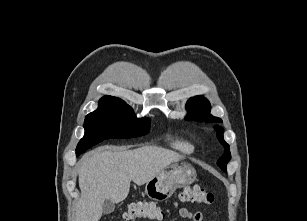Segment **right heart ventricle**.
<instances>
[{
    "label": "right heart ventricle",
    "instance_id": "right-heart-ventricle-1",
    "mask_svg": "<svg viewBox=\"0 0 307 221\" xmlns=\"http://www.w3.org/2000/svg\"><path fill=\"white\" fill-rule=\"evenodd\" d=\"M173 147L186 154L194 151V146L191 144V142L181 137H175Z\"/></svg>",
    "mask_w": 307,
    "mask_h": 221
}]
</instances>
